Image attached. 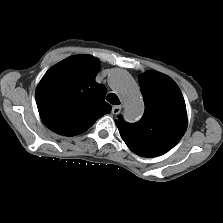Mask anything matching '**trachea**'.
<instances>
[{
    "instance_id": "trachea-1",
    "label": "trachea",
    "mask_w": 223,
    "mask_h": 223,
    "mask_svg": "<svg viewBox=\"0 0 223 223\" xmlns=\"http://www.w3.org/2000/svg\"><path fill=\"white\" fill-rule=\"evenodd\" d=\"M106 100L113 105H120V100L114 93L108 94Z\"/></svg>"
}]
</instances>
